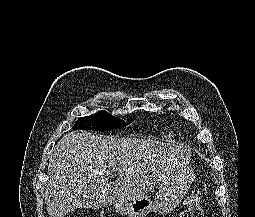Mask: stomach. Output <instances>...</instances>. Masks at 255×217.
<instances>
[{
	"instance_id": "stomach-1",
	"label": "stomach",
	"mask_w": 255,
	"mask_h": 217,
	"mask_svg": "<svg viewBox=\"0 0 255 217\" xmlns=\"http://www.w3.org/2000/svg\"><path fill=\"white\" fill-rule=\"evenodd\" d=\"M194 178V170L185 165L160 183L154 200L143 196L135 200L119 202L115 204V212L126 217H146L151 212L168 214L185 197Z\"/></svg>"
}]
</instances>
